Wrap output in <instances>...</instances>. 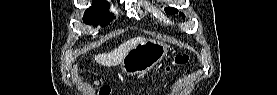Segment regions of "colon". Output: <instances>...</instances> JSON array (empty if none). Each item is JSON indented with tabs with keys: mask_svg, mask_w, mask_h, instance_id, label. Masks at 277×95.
<instances>
[{
	"mask_svg": "<svg viewBox=\"0 0 277 95\" xmlns=\"http://www.w3.org/2000/svg\"><path fill=\"white\" fill-rule=\"evenodd\" d=\"M188 60H189V58L187 55L177 56L175 62L166 67V72H172L175 69L186 65L188 63ZM100 91H101V94L107 95V94H109L110 89L108 86H103Z\"/></svg>",
	"mask_w": 277,
	"mask_h": 95,
	"instance_id": "1",
	"label": "colon"
}]
</instances>
